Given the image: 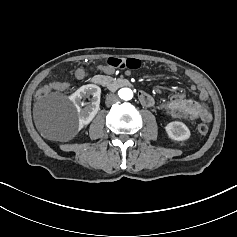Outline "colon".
Masks as SVG:
<instances>
[{
    "label": "colon",
    "mask_w": 237,
    "mask_h": 237,
    "mask_svg": "<svg viewBox=\"0 0 237 237\" xmlns=\"http://www.w3.org/2000/svg\"><path fill=\"white\" fill-rule=\"evenodd\" d=\"M107 64L119 69H128V70H138L142 66V62L139 59L128 58V59H118V58H110L107 60ZM82 69H77L75 74L82 72ZM51 91L50 85H42L39 87L37 91V96L39 98L44 97ZM197 131L201 135H205L208 132V126L205 123H200L197 126Z\"/></svg>",
    "instance_id": "5ec220e1"
}]
</instances>
